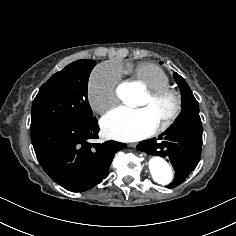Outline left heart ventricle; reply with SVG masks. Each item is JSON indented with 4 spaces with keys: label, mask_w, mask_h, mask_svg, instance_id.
Here are the masks:
<instances>
[{
    "label": "left heart ventricle",
    "mask_w": 236,
    "mask_h": 236,
    "mask_svg": "<svg viewBox=\"0 0 236 236\" xmlns=\"http://www.w3.org/2000/svg\"><path fill=\"white\" fill-rule=\"evenodd\" d=\"M135 107L148 110L152 118L154 127H156L158 125H161L165 121L166 117L171 111L172 104L170 100H163L159 103L151 104L149 102L148 96L145 95L140 99Z\"/></svg>",
    "instance_id": "left-heart-ventricle-1"
}]
</instances>
